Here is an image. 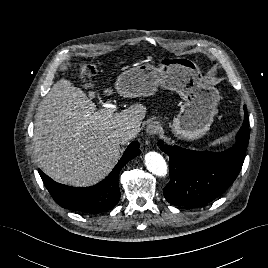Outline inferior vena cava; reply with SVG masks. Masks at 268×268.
I'll return each instance as SVG.
<instances>
[{
	"instance_id": "obj_1",
	"label": "inferior vena cava",
	"mask_w": 268,
	"mask_h": 268,
	"mask_svg": "<svg viewBox=\"0 0 268 268\" xmlns=\"http://www.w3.org/2000/svg\"><path fill=\"white\" fill-rule=\"evenodd\" d=\"M138 131L136 129H132L127 132H120V131H113L110 134V137L114 141H123V140H131L132 138L136 137Z\"/></svg>"
}]
</instances>
